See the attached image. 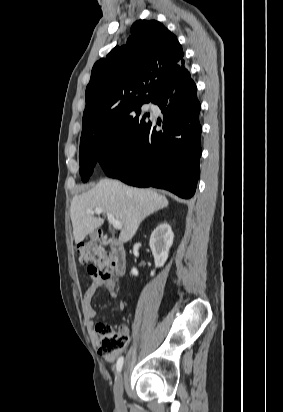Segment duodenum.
<instances>
[{
    "label": "duodenum",
    "instance_id": "obj_1",
    "mask_svg": "<svg viewBox=\"0 0 283 412\" xmlns=\"http://www.w3.org/2000/svg\"><path fill=\"white\" fill-rule=\"evenodd\" d=\"M110 247L115 274L117 276H122L126 270V253L124 247L118 239H113L110 242Z\"/></svg>",
    "mask_w": 283,
    "mask_h": 412
}]
</instances>
